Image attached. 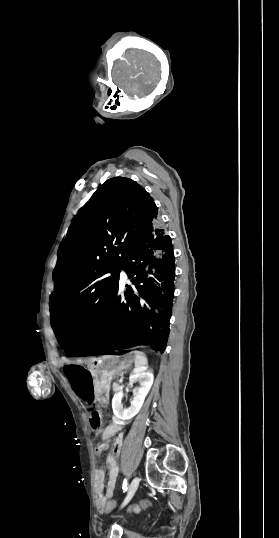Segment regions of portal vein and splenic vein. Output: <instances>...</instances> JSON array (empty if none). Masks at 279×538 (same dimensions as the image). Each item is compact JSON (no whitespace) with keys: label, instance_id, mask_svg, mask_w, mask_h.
<instances>
[{"label":"portal vein and splenic vein","instance_id":"obj_1","mask_svg":"<svg viewBox=\"0 0 279 538\" xmlns=\"http://www.w3.org/2000/svg\"><path fill=\"white\" fill-rule=\"evenodd\" d=\"M117 383H124V377H120V380H117Z\"/></svg>","mask_w":279,"mask_h":538}]
</instances>
